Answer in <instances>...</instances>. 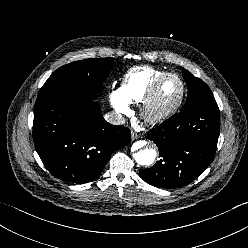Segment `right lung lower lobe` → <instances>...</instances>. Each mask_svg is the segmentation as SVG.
I'll list each match as a JSON object with an SVG mask.
<instances>
[{
	"label": "right lung lower lobe",
	"instance_id": "1",
	"mask_svg": "<svg viewBox=\"0 0 248 248\" xmlns=\"http://www.w3.org/2000/svg\"><path fill=\"white\" fill-rule=\"evenodd\" d=\"M35 148L55 177L95 180L112 153L130 143V130L108 123L97 102L66 94L39 97L34 107Z\"/></svg>",
	"mask_w": 248,
	"mask_h": 248
}]
</instances>
